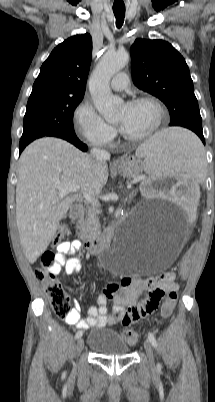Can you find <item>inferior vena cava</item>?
<instances>
[{
	"label": "inferior vena cava",
	"instance_id": "inferior-vena-cava-1",
	"mask_svg": "<svg viewBox=\"0 0 215 402\" xmlns=\"http://www.w3.org/2000/svg\"><path fill=\"white\" fill-rule=\"evenodd\" d=\"M91 155L98 163H106V161L110 159V154L107 151L99 148H92Z\"/></svg>",
	"mask_w": 215,
	"mask_h": 402
}]
</instances>
